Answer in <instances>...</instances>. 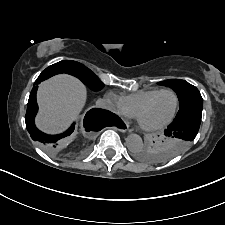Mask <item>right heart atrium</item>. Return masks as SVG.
Listing matches in <instances>:
<instances>
[{
    "mask_svg": "<svg viewBox=\"0 0 225 225\" xmlns=\"http://www.w3.org/2000/svg\"><path fill=\"white\" fill-rule=\"evenodd\" d=\"M106 97L110 104L111 109L114 112L120 115H130L128 111L126 110L122 99L118 95H116L113 92H109L107 93Z\"/></svg>",
    "mask_w": 225,
    "mask_h": 225,
    "instance_id": "obj_1",
    "label": "right heart atrium"
}]
</instances>
